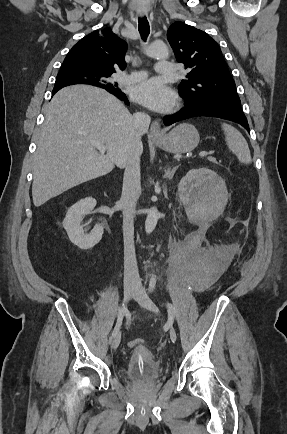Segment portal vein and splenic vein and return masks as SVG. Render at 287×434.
<instances>
[{
  "label": "portal vein and splenic vein",
  "mask_w": 287,
  "mask_h": 434,
  "mask_svg": "<svg viewBox=\"0 0 287 434\" xmlns=\"http://www.w3.org/2000/svg\"><path fill=\"white\" fill-rule=\"evenodd\" d=\"M93 144L97 147V149L100 152H105L106 151V147L103 144L98 143V142H94ZM210 153H213V152L202 151V152L199 153V155L201 157H204V156H208Z\"/></svg>",
  "instance_id": "portal-vein-and-splenic-vein-1"
}]
</instances>
